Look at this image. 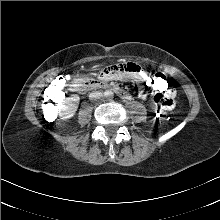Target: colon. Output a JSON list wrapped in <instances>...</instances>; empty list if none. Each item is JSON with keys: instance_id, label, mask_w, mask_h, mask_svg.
<instances>
[{"instance_id": "1", "label": "colon", "mask_w": 220, "mask_h": 220, "mask_svg": "<svg viewBox=\"0 0 220 220\" xmlns=\"http://www.w3.org/2000/svg\"><path fill=\"white\" fill-rule=\"evenodd\" d=\"M109 68V67H108ZM63 80H55L52 83L49 94L44 101V110L46 112L53 111L56 108L57 103L60 100V94L62 91ZM145 87L155 93L153 100L158 106L156 110V117L161 122H168L171 119V109L174 107L173 97L161 95L165 93L169 88V81L166 76L161 72H150L144 78Z\"/></svg>"}]
</instances>
